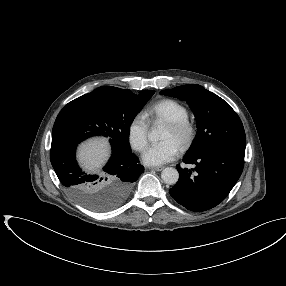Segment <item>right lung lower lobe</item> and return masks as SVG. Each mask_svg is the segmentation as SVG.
Instances as JSON below:
<instances>
[{
  "mask_svg": "<svg viewBox=\"0 0 286 286\" xmlns=\"http://www.w3.org/2000/svg\"><path fill=\"white\" fill-rule=\"evenodd\" d=\"M84 139L77 137L68 128L55 123L52 131L51 164L67 191L79 202L92 195L103 197L104 204H122L128 197L133 182L143 173L144 167L131 149L112 146V156L103 167L101 175H88L76 163L77 144ZM123 192L126 198L121 201L117 194ZM109 209V210H110Z\"/></svg>",
  "mask_w": 286,
  "mask_h": 286,
  "instance_id": "right-lung-lower-lobe-1",
  "label": "right lung lower lobe"
}]
</instances>
